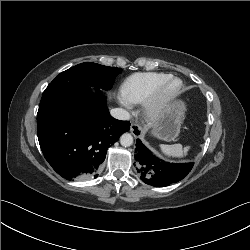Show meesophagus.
I'll return each mask as SVG.
<instances>
[{"mask_svg":"<svg viewBox=\"0 0 250 250\" xmlns=\"http://www.w3.org/2000/svg\"><path fill=\"white\" fill-rule=\"evenodd\" d=\"M130 131L134 137L140 138L143 135L141 127L137 123H132L130 126Z\"/></svg>","mask_w":250,"mask_h":250,"instance_id":"34e87169","label":"esophagus"}]
</instances>
